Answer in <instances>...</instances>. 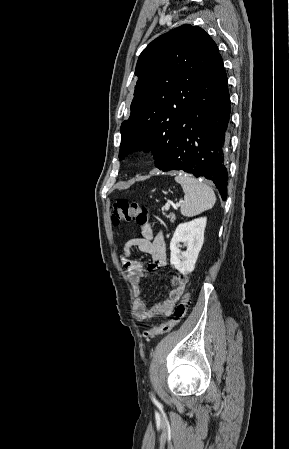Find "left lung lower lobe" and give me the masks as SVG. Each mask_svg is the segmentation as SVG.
<instances>
[{
  "label": "left lung lower lobe",
  "mask_w": 289,
  "mask_h": 449,
  "mask_svg": "<svg viewBox=\"0 0 289 449\" xmlns=\"http://www.w3.org/2000/svg\"><path fill=\"white\" fill-rule=\"evenodd\" d=\"M229 118L227 75L218 52L205 71L189 110L174 129L167 157L156 167L163 172L182 170L211 180L226 200L228 173L224 160Z\"/></svg>",
  "instance_id": "left-lung-lower-lobe-1"
}]
</instances>
